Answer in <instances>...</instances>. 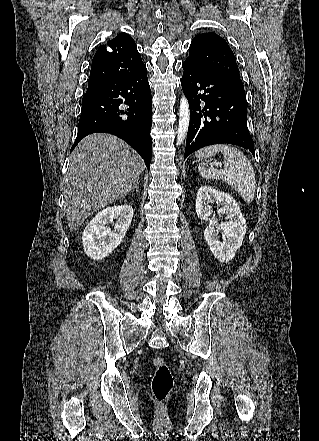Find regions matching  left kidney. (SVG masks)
<instances>
[{
	"mask_svg": "<svg viewBox=\"0 0 319 441\" xmlns=\"http://www.w3.org/2000/svg\"><path fill=\"white\" fill-rule=\"evenodd\" d=\"M214 202L222 203L219 212L226 215L227 222L219 224L215 217L210 218L213 211L209 203ZM195 205L197 216L202 220H209L204 237L210 250L221 263L229 262L242 245L246 233V220L236 200L227 193L210 186H202L197 192ZM218 230L222 231V241L217 236Z\"/></svg>",
	"mask_w": 319,
	"mask_h": 441,
	"instance_id": "5707ae66",
	"label": "left kidney"
}]
</instances>
